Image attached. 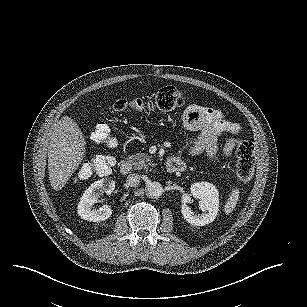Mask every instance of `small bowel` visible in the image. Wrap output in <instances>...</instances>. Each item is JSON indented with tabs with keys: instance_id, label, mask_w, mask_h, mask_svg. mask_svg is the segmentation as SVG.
I'll use <instances>...</instances> for the list:
<instances>
[{
	"instance_id": "small-bowel-1",
	"label": "small bowel",
	"mask_w": 307,
	"mask_h": 307,
	"mask_svg": "<svg viewBox=\"0 0 307 307\" xmlns=\"http://www.w3.org/2000/svg\"><path fill=\"white\" fill-rule=\"evenodd\" d=\"M180 121L185 129L197 133L195 140L187 150L192 156L205 152L209 157L216 158L218 156V137L226 133L238 135L241 130L239 124L226 119L221 110L199 104L189 105L184 110ZM236 141L238 139L232 138L225 143L222 148L225 156L231 155ZM176 159L184 164L181 158Z\"/></svg>"
}]
</instances>
